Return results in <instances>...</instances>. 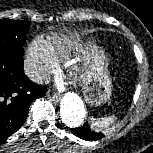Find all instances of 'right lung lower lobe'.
Instances as JSON below:
<instances>
[{"mask_svg":"<svg viewBox=\"0 0 153 153\" xmlns=\"http://www.w3.org/2000/svg\"><path fill=\"white\" fill-rule=\"evenodd\" d=\"M45 92L24 75L22 57L0 55V141L23 125L30 104Z\"/></svg>","mask_w":153,"mask_h":153,"instance_id":"98d812e1","label":"right lung lower lobe"}]
</instances>
